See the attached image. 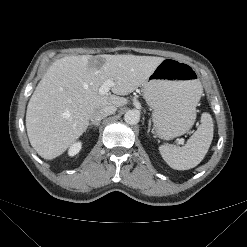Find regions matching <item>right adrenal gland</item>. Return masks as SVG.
<instances>
[{"mask_svg":"<svg viewBox=\"0 0 247 247\" xmlns=\"http://www.w3.org/2000/svg\"><path fill=\"white\" fill-rule=\"evenodd\" d=\"M89 127L90 126H95V127H98V126H100V123H94V122H91V123H89V125H88Z\"/></svg>","mask_w":247,"mask_h":247,"instance_id":"1","label":"right adrenal gland"}]
</instances>
